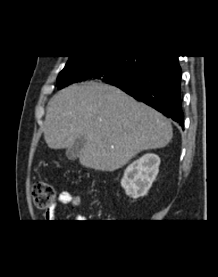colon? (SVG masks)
Instances as JSON below:
<instances>
[{"mask_svg":"<svg viewBox=\"0 0 218 277\" xmlns=\"http://www.w3.org/2000/svg\"><path fill=\"white\" fill-rule=\"evenodd\" d=\"M32 197L37 208L46 209L54 204L56 191L51 184L38 181L32 185Z\"/></svg>","mask_w":218,"mask_h":277,"instance_id":"colon-1","label":"colon"}]
</instances>
